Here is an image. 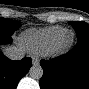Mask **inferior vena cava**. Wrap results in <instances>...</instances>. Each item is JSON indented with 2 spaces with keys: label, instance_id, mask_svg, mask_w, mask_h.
<instances>
[{
  "label": "inferior vena cava",
  "instance_id": "602c4592",
  "mask_svg": "<svg viewBox=\"0 0 89 89\" xmlns=\"http://www.w3.org/2000/svg\"><path fill=\"white\" fill-rule=\"evenodd\" d=\"M5 54L11 60H20L24 57L25 53L22 49L17 47L7 48Z\"/></svg>",
  "mask_w": 89,
  "mask_h": 89
}]
</instances>
